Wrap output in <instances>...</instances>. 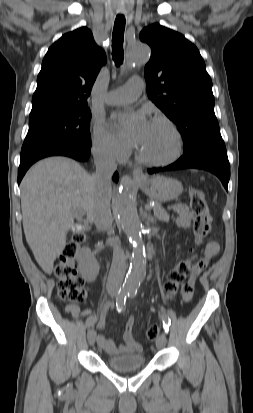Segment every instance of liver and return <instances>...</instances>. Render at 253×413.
<instances>
[{
	"mask_svg": "<svg viewBox=\"0 0 253 413\" xmlns=\"http://www.w3.org/2000/svg\"><path fill=\"white\" fill-rule=\"evenodd\" d=\"M112 188L108 190L111 199ZM97 190L93 175L76 161L50 157L33 165L21 182L23 228L28 245L43 271L51 274L66 245L74 212L94 220Z\"/></svg>",
	"mask_w": 253,
	"mask_h": 413,
	"instance_id": "1",
	"label": "liver"
}]
</instances>
